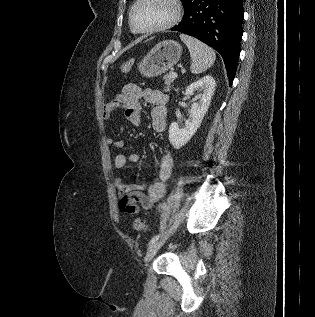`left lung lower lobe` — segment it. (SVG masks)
Returning a JSON list of instances; mask_svg holds the SVG:
<instances>
[{"label": "left lung lower lobe", "instance_id": "1", "mask_svg": "<svg viewBox=\"0 0 315 317\" xmlns=\"http://www.w3.org/2000/svg\"><path fill=\"white\" fill-rule=\"evenodd\" d=\"M243 0H193L171 30L193 36L222 56L229 84L235 77L243 30Z\"/></svg>", "mask_w": 315, "mask_h": 317}]
</instances>
